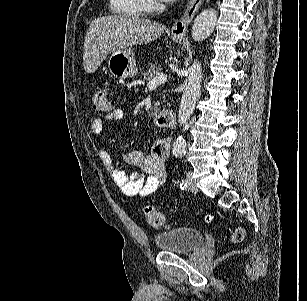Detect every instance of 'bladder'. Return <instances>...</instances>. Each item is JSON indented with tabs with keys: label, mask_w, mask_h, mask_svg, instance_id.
Here are the masks:
<instances>
[{
	"label": "bladder",
	"mask_w": 307,
	"mask_h": 301,
	"mask_svg": "<svg viewBox=\"0 0 307 301\" xmlns=\"http://www.w3.org/2000/svg\"><path fill=\"white\" fill-rule=\"evenodd\" d=\"M204 241V234L194 228H178L155 235L154 242L161 251L191 252Z\"/></svg>",
	"instance_id": "1"
}]
</instances>
